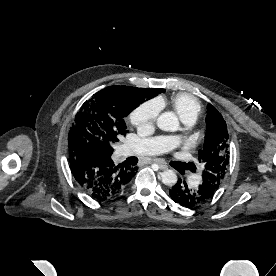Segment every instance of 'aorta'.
<instances>
[{"mask_svg":"<svg viewBox=\"0 0 276 276\" xmlns=\"http://www.w3.org/2000/svg\"><path fill=\"white\" fill-rule=\"evenodd\" d=\"M157 126L163 131L175 132L179 129L178 117L173 112H164L157 118ZM161 180L163 184L173 186L177 183V175L173 170H165Z\"/></svg>","mask_w":276,"mask_h":276,"instance_id":"obj_1","label":"aorta"}]
</instances>
